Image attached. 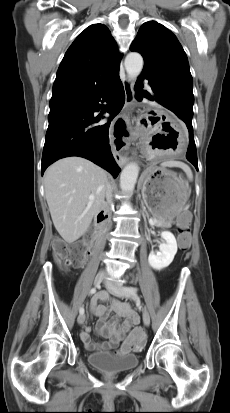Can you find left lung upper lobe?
Instances as JSON below:
<instances>
[{"instance_id":"obj_1","label":"left lung upper lobe","mask_w":230,"mask_h":413,"mask_svg":"<svg viewBox=\"0 0 230 413\" xmlns=\"http://www.w3.org/2000/svg\"><path fill=\"white\" fill-rule=\"evenodd\" d=\"M130 50L143 56L141 77L149 81L155 100L192 119L193 80L186 53L176 36L162 24L148 21L140 27Z\"/></svg>"}]
</instances>
